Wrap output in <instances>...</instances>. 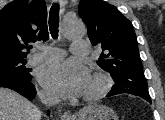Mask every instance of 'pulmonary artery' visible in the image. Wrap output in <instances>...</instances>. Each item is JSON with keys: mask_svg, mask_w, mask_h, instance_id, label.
I'll list each match as a JSON object with an SVG mask.
<instances>
[{"mask_svg": "<svg viewBox=\"0 0 165 120\" xmlns=\"http://www.w3.org/2000/svg\"><path fill=\"white\" fill-rule=\"evenodd\" d=\"M40 49V52L29 58L30 64L35 65L49 63L64 55V51L59 48L44 46ZM71 50L77 55H86L88 54V44L85 41H75L72 44Z\"/></svg>", "mask_w": 165, "mask_h": 120, "instance_id": "obj_1", "label": "pulmonary artery"}]
</instances>
